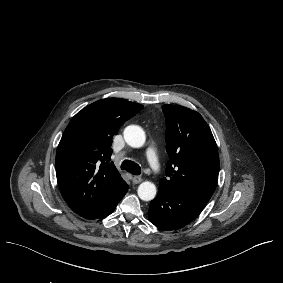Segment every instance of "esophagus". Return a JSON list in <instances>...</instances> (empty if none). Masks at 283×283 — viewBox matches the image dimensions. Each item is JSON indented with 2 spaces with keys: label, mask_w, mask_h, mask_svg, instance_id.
I'll use <instances>...</instances> for the list:
<instances>
[{
  "label": "esophagus",
  "mask_w": 283,
  "mask_h": 283,
  "mask_svg": "<svg viewBox=\"0 0 283 283\" xmlns=\"http://www.w3.org/2000/svg\"><path fill=\"white\" fill-rule=\"evenodd\" d=\"M132 182H133L134 184H138V183L142 182V178H141L140 176H134V177L132 178Z\"/></svg>",
  "instance_id": "esophagus-1"
}]
</instances>
